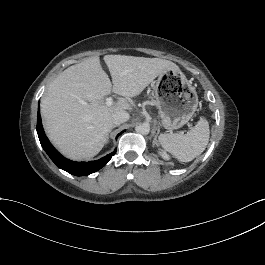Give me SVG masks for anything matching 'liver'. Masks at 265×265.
<instances>
[{
	"label": "liver",
	"mask_w": 265,
	"mask_h": 265,
	"mask_svg": "<svg viewBox=\"0 0 265 265\" xmlns=\"http://www.w3.org/2000/svg\"><path fill=\"white\" fill-rule=\"evenodd\" d=\"M103 60L112 75L113 87L100 58L94 57L59 74L42 98L41 114L47 135L62 154L72 159L98 154L115 126L113 113L131 111V99L158 76L180 72L174 63L157 58L106 55ZM122 72H126L123 77ZM112 92L123 97L113 106L105 101Z\"/></svg>",
	"instance_id": "1"
}]
</instances>
